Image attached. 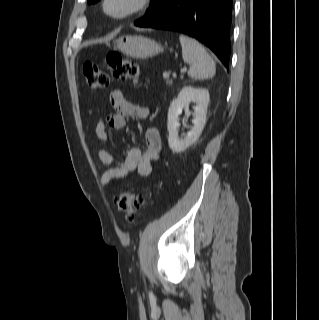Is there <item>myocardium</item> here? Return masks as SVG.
Wrapping results in <instances>:
<instances>
[{
	"label": "myocardium",
	"instance_id": "1",
	"mask_svg": "<svg viewBox=\"0 0 319 320\" xmlns=\"http://www.w3.org/2000/svg\"><path fill=\"white\" fill-rule=\"evenodd\" d=\"M113 0H103L102 10L104 14L114 21H124L138 14L144 13L151 9L153 0H127L128 6L121 12L117 13L109 9V4Z\"/></svg>",
	"mask_w": 319,
	"mask_h": 320
}]
</instances>
